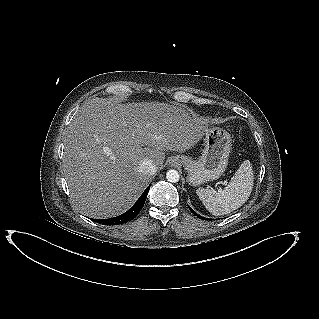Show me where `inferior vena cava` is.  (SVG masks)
Returning <instances> with one entry per match:
<instances>
[{
    "label": "inferior vena cava",
    "instance_id": "1",
    "mask_svg": "<svg viewBox=\"0 0 319 319\" xmlns=\"http://www.w3.org/2000/svg\"><path fill=\"white\" fill-rule=\"evenodd\" d=\"M139 169L146 175H154L157 171L156 165L149 159L142 160Z\"/></svg>",
    "mask_w": 319,
    "mask_h": 319
}]
</instances>
